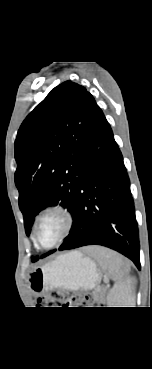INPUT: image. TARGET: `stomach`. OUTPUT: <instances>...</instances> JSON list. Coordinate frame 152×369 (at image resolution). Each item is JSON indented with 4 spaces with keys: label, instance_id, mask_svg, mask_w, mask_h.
I'll return each instance as SVG.
<instances>
[{
    "label": "stomach",
    "instance_id": "stomach-1",
    "mask_svg": "<svg viewBox=\"0 0 152 369\" xmlns=\"http://www.w3.org/2000/svg\"><path fill=\"white\" fill-rule=\"evenodd\" d=\"M101 278V272L90 258L79 252H69L53 262L34 268L29 276L31 290L40 295L49 289H93Z\"/></svg>",
    "mask_w": 152,
    "mask_h": 369
}]
</instances>
